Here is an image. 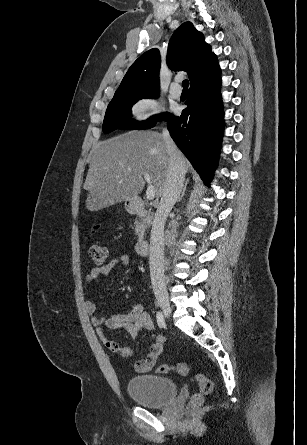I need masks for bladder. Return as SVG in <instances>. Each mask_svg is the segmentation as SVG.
Returning <instances> with one entry per match:
<instances>
[{"label":"bladder","instance_id":"31cf9c89","mask_svg":"<svg viewBox=\"0 0 307 445\" xmlns=\"http://www.w3.org/2000/svg\"><path fill=\"white\" fill-rule=\"evenodd\" d=\"M127 391L129 396L141 406L160 408L175 399L178 386L166 377L140 374L128 380Z\"/></svg>","mask_w":307,"mask_h":445}]
</instances>
